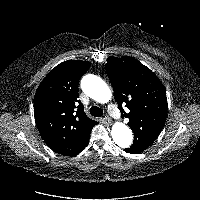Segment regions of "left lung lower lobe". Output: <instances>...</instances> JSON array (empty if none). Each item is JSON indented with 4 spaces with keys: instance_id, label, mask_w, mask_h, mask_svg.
<instances>
[{
    "instance_id": "1",
    "label": "left lung lower lobe",
    "mask_w": 200,
    "mask_h": 200,
    "mask_svg": "<svg viewBox=\"0 0 200 200\" xmlns=\"http://www.w3.org/2000/svg\"><path fill=\"white\" fill-rule=\"evenodd\" d=\"M145 147H137V146H131L130 148L125 149V152L131 153V154H138L144 151Z\"/></svg>"
}]
</instances>
